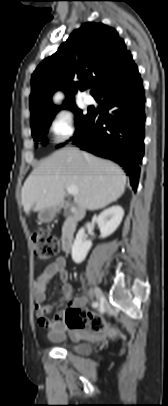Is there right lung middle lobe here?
Instances as JSON below:
<instances>
[{"instance_id": "obj_1", "label": "right lung middle lobe", "mask_w": 168, "mask_h": 406, "mask_svg": "<svg viewBox=\"0 0 168 406\" xmlns=\"http://www.w3.org/2000/svg\"><path fill=\"white\" fill-rule=\"evenodd\" d=\"M67 108H69L70 110H73L76 114L77 130H76L75 134H77V132L84 126V124L89 119V117L91 115V111L89 110L86 115H83L82 110L78 109L75 105H71ZM53 116H54V114L47 116V117L31 124L32 135H33L34 141H41L43 145L46 144L47 140L45 138V135L47 133L49 124L51 123ZM61 146L62 145H59L57 147H61Z\"/></svg>"}]
</instances>
